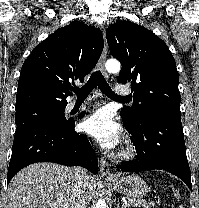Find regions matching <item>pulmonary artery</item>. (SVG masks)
Instances as JSON below:
<instances>
[{
    "label": "pulmonary artery",
    "instance_id": "1",
    "mask_svg": "<svg viewBox=\"0 0 199 208\" xmlns=\"http://www.w3.org/2000/svg\"><path fill=\"white\" fill-rule=\"evenodd\" d=\"M129 93H130V90L127 89V88L117 87V88L115 89V95H116L117 97H120V98H127L126 96H127ZM89 104H90L89 102H85V103H83L81 106L83 107V106H87V105H89ZM75 107H76V103H75V102H71V103L68 104V109H69V110H72V109L75 108Z\"/></svg>",
    "mask_w": 199,
    "mask_h": 208
}]
</instances>
